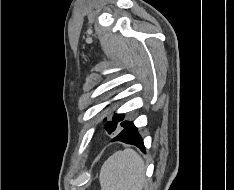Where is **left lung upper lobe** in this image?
I'll use <instances>...</instances> for the list:
<instances>
[{"label":"left lung upper lobe","mask_w":234,"mask_h":190,"mask_svg":"<svg viewBox=\"0 0 234 190\" xmlns=\"http://www.w3.org/2000/svg\"><path fill=\"white\" fill-rule=\"evenodd\" d=\"M124 120V114H115L112 118V121H108L105 125L106 130L109 134L117 131L122 127V125L125 123ZM106 121V119H104Z\"/></svg>","instance_id":"5c2ea615"}]
</instances>
